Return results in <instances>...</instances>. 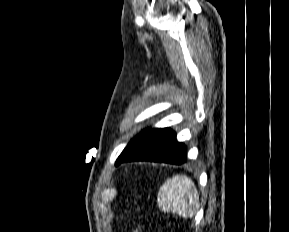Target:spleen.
<instances>
[{
    "mask_svg": "<svg viewBox=\"0 0 289 232\" xmlns=\"http://www.w3.org/2000/svg\"><path fill=\"white\" fill-rule=\"evenodd\" d=\"M158 206L184 218L193 217L199 206V194L194 182L186 175H174L161 186Z\"/></svg>",
    "mask_w": 289,
    "mask_h": 232,
    "instance_id": "spleen-1",
    "label": "spleen"
}]
</instances>
